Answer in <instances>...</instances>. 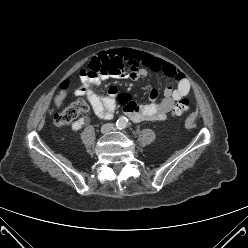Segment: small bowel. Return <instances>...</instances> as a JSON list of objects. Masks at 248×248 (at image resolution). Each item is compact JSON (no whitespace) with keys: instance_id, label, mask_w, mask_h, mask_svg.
I'll return each mask as SVG.
<instances>
[{"instance_id":"c3829d8e","label":"small bowel","mask_w":248,"mask_h":248,"mask_svg":"<svg viewBox=\"0 0 248 248\" xmlns=\"http://www.w3.org/2000/svg\"><path fill=\"white\" fill-rule=\"evenodd\" d=\"M107 57H115L121 60L123 66L122 70L114 73L88 76L85 68L81 72L82 84L74 90L76 96L85 97L88 100L94 113L99 118H111L116 108V97L119 92L117 87L111 86L108 89V95L103 97L99 96L93 88L94 86H99L103 80L109 77L129 78L132 80L144 79L147 77L149 70L154 73H163L176 81V87L169 85L164 88V98L159 102L155 101L158 96V91L153 89L150 92L151 103L137 104L133 100H130L125 105L124 112L126 116L135 123L166 119L167 114L173 109L175 103L184 98L190 91L189 81L182 72L170 63L150 54L129 49H119L102 53L93 60L100 61Z\"/></svg>"}]
</instances>
